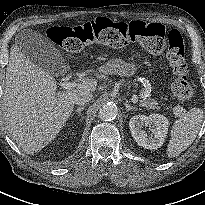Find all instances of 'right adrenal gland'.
Segmentation results:
<instances>
[{
    "label": "right adrenal gland",
    "instance_id": "obj_1",
    "mask_svg": "<svg viewBox=\"0 0 205 205\" xmlns=\"http://www.w3.org/2000/svg\"><path fill=\"white\" fill-rule=\"evenodd\" d=\"M83 109H84V106H80L79 108H77V109L75 110V112H74L72 115H74L75 113H77L79 116H81V111H83Z\"/></svg>",
    "mask_w": 205,
    "mask_h": 205
}]
</instances>
